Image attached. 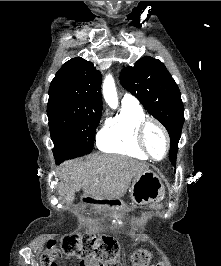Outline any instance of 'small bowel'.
Masks as SVG:
<instances>
[{
  "label": "small bowel",
  "instance_id": "c3829d8e",
  "mask_svg": "<svg viewBox=\"0 0 221 266\" xmlns=\"http://www.w3.org/2000/svg\"><path fill=\"white\" fill-rule=\"evenodd\" d=\"M54 250H63V247H54ZM54 256H58V253H54ZM48 266H60V263L52 262L49 263ZM80 266H100V265L95 261H86L82 262ZM152 266H165V264L163 262H159Z\"/></svg>",
  "mask_w": 221,
  "mask_h": 266
}]
</instances>
